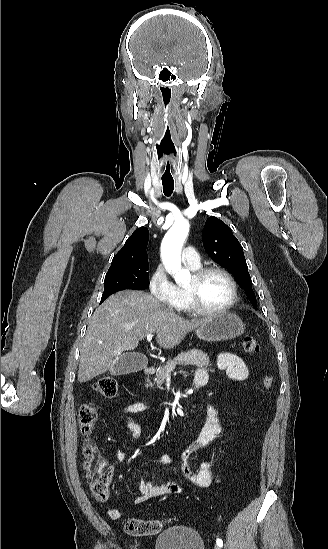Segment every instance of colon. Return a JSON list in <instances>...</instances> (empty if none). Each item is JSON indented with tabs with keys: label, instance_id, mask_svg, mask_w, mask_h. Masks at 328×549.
Returning a JSON list of instances; mask_svg holds the SVG:
<instances>
[{
	"label": "colon",
	"instance_id": "1",
	"mask_svg": "<svg viewBox=\"0 0 328 549\" xmlns=\"http://www.w3.org/2000/svg\"><path fill=\"white\" fill-rule=\"evenodd\" d=\"M245 352L257 354L260 351L258 341L250 336H246L242 342ZM273 384V378L269 375L263 378V386L269 389ZM94 389L104 397L111 398L118 391V383L114 377L104 376L100 378L94 385ZM98 414L96 408L89 403H84L78 410V423L81 433L86 437V443L83 448L85 458V470L90 481V489L96 500L104 502L109 497V482L111 478V469L103 463L97 461L95 445L90 440L94 426L97 422ZM112 516H116L112 514ZM164 526V521L142 520V519H127L123 528L124 531L134 536H148L161 531Z\"/></svg>",
	"mask_w": 328,
	"mask_h": 549
}]
</instances>
